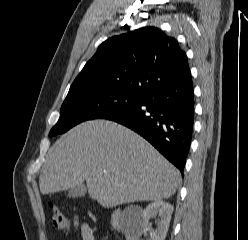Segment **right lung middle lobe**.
I'll return each instance as SVG.
<instances>
[{"instance_id": "1", "label": "right lung middle lobe", "mask_w": 248, "mask_h": 240, "mask_svg": "<svg viewBox=\"0 0 248 240\" xmlns=\"http://www.w3.org/2000/svg\"><path fill=\"white\" fill-rule=\"evenodd\" d=\"M142 97L111 88L70 90L62 104L60 118L49 135L64 133L87 120L105 119L135 105Z\"/></svg>"}]
</instances>
